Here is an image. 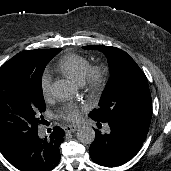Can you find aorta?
Returning <instances> with one entry per match:
<instances>
[{
    "label": "aorta",
    "instance_id": "1",
    "mask_svg": "<svg viewBox=\"0 0 171 171\" xmlns=\"http://www.w3.org/2000/svg\"><path fill=\"white\" fill-rule=\"evenodd\" d=\"M52 95L60 100L68 99L76 93V86L69 80L60 79L51 87ZM77 139L83 144H91L95 139V131L90 126H82L77 130Z\"/></svg>",
    "mask_w": 171,
    "mask_h": 171
}]
</instances>
